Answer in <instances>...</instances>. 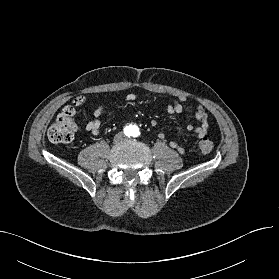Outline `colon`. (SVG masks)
Segmentation results:
<instances>
[{"instance_id": "5ec220e1", "label": "colon", "mask_w": 279, "mask_h": 279, "mask_svg": "<svg viewBox=\"0 0 279 279\" xmlns=\"http://www.w3.org/2000/svg\"><path fill=\"white\" fill-rule=\"evenodd\" d=\"M82 103L81 99H77L74 103L64 108L57 116L54 123L48 130V138L53 143H69L73 141L75 133L78 129L76 120V109ZM213 148L212 141L204 136L198 142V149L203 154H208Z\"/></svg>"}]
</instances>
